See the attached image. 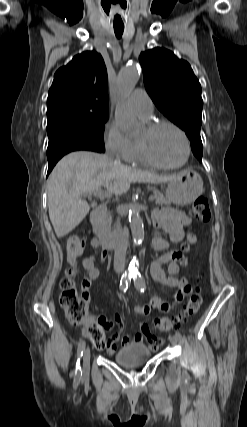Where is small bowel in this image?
I'll return each instance as SVG.
<instances>
[{"label": "small bowel", "mask_w": 247, "mask_h": 427, "mask_svg": "<svg viewBox=\"0 0 247 427\" xmlns=\"http://www.w3.org/2000/svg\"><path fill=\"white\" fill-rule=\"evenodd\" d=\"M153 221L157 228L165 230L169 235V240L156 236L153 239V246L157 251H165L169 248L170 244H176L183 239H187L189 243H196V236L192 232V220L185 213L175 211L168 208L159 209L153 214ZM92 246L99 248L100 245L93 238ZM107 259V251L102 249L100 252H94L82 261L85 273L81 282L82 296L86 301L90 300V288L92 282L98 278L99 270L96 267V262H104ZM183 261L181 253L177 251H168L162 254L151 265V274L154 280L160 282L168 287L176 288L178 292L174 297V303L179 304L183 301L185 296L190 293V286L188 280L184 277H178L179 266L178 262ZM163 264H167L168 276L166 275ZM170 309L168 302L162 301L158 297H154L147 304L138 305L134 311L139 316H147L152 311L167 312ZM89 321L100 324L104 330H109L114 325L119 328V332L113 335L108 340L106 350L109 354H113L117 349V343L121 339L124 346L131 344H142L146 339L149 342V347L152 351H156L163 344V339L156 336L147 323L139 324V331L133 336L124 335L120 336L123 329L124 321L120 314H116L112 321H109L104 315L97 314L91 315Z\"/></svg>", "instance_id": "small-bowel-1"}]
</instances>
